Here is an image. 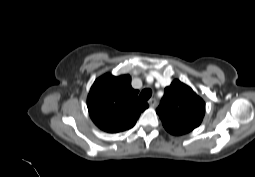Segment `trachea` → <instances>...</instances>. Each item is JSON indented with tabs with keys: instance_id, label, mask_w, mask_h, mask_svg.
Wrapping results in <instances>:
<instances>
[{
	"instance_id": "obj_1",
	"label": "trachea",
	"mask_w": 255,
	"mask_h": 177,
	"mask_svg": "<svg viewBox=\"0 0 255 177\" xmlns=\"http://www.w3.org/2000/svg\"><path fill=\"white\" fill-rule=\"evenodd\" d=\"M152 95V90L151 89H144L141 93H140V99L143 101H147Z\"/></svg>"
}]
</instances>
